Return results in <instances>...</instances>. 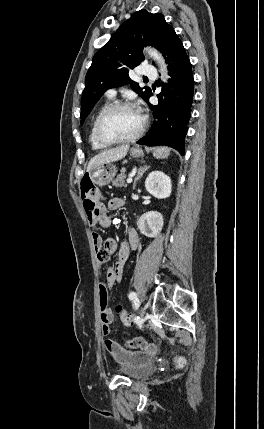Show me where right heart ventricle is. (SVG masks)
Listing matches in <instances>:
<instances>
[{
  "label": "right heart ventricle",
  "mask_w": 264,
  "mask_h": 429,
  "mask_svg": "<svg viewBox=\"0 0 264 429\" xmlns=\"http://www.w3.org/2000/svg\"><path fill=\"white\" fill-rule=\"evenodd\" d=\"M110 105V100H107L106 102H104L94 113L92 120H91V124H90V130H89V141L90 144L92 146V148L94 150H101L104 149L105 145L99 143L95 137V133H94V129H95V124L96 121L98 119V117L103 113V111Z\"/></svg>",
  "instance_id": "obj_1"
}]
</instances>
